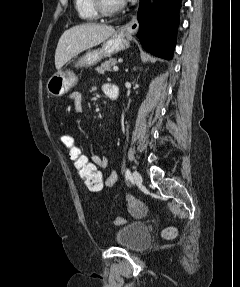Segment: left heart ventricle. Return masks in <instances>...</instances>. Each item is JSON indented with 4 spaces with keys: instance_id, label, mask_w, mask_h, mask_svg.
Segmentation results:
<instances>
[{
    "instance_id": "left-heart-ventricle-1",
    "label": "left heart ventricle",
    "mask_w": 240,
    "mask_h": 287,
    "mask_svg": "<svg viewBox=\"0 0 240 287\" xmlns=\"http://www.w3.org/2000/svg\"><path fill=\"white\" fill-rule=\"evenodd\" d=\"M120 0H105L107 6L112 7L120 3Z\"/></svg>"
}]
</instances>
